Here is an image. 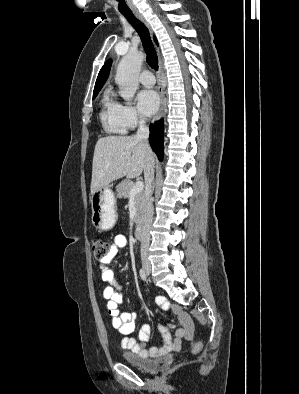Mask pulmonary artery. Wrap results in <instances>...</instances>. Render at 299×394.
<instances>
[{
	"label": "pulmonary artery",
	"mask_w": 299,
	"mask_h": 394,
	"mask_svg": "<svg viewBox=\"0 0 299 394\" xmlns=\"http://www.w3.org/2000/svg\"><path fill=\"white\" fill-rule=\"evenodd\" d=\"M139 81L146 87H151L155 83V77L149 70H144L140 76Z\"/></svg>",
	"instance_id": "pulmonary-artery-1"
}]
</instances>
